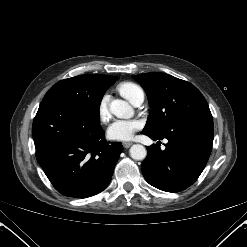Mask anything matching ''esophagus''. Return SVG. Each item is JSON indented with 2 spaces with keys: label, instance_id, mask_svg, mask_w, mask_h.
<instances>
[{
  "label": "esophagus",
  "instance_id": "1",
  "mask_svg": "<svg viewBox=\"0 0 247 247\" xmlns=\"http://www.w3.org/2000/svg\"><path fill=\"white\" fill-rule=\"evenodd\" d=\"M122 144L124 148H129L132 145L131 142H123Z\"/></svg>",
  "mask_w": 247,
  "mask_h": 247
}]
</instances>
